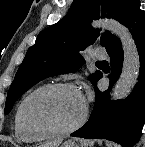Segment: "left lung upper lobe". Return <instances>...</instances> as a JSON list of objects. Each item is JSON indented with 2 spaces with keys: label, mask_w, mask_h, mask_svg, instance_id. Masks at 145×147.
<instances>
[{
  "label": "left lung upper lobe",
  "mask_w": 145,
  "mask_h": 147,
  "mask_svg": "<svg viewBox=\"0 0 145 147\" xmlns=\"http://www.w3.org/2000/svg\"><path fill=\"white\" fill-rule=\"evenodd\" d=\"M131 0H74L68 14L56 24L41 31L35 44L27 51L8 91L5 114L16 100L41 80L58 74L72 73L84 64L80 51L92 45L98 37L107 48L115 38L110 32L100 34L91 22L98 18H113L123 22ZM102 73L90 75L95 84Z\"/></svg>",
  "instance_id": "1"
}]
</instances>
